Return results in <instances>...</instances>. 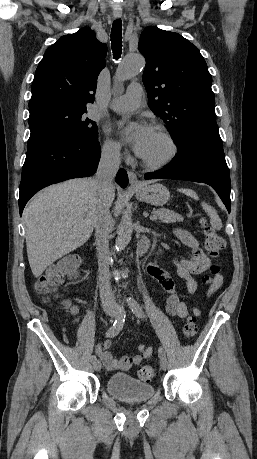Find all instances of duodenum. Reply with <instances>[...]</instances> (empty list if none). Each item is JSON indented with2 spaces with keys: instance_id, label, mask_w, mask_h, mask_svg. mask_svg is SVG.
Wrapping results in <instances>:
<instances>
[{
  "instance_id": "duodenum-1",
  "label": "duodenum",
  "mask_w": 257,
  "mask_h": 459,
  "mask_svg": "<svg viewBox=\"0 0 257 459\" xmlns=\"http://www.w3.org/2000/svg\"><path fill=\"white\" fill-rule=\"evenodd\" d=\"M149 245H150V241L148 239L142 240L138 247V255L144 256L149 249Z\"/></svg>"
}]
</instances>
